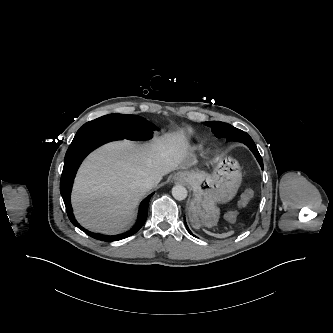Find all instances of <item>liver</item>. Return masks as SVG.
Masks as SVG:
<instances>
[{
    "instance_id": "6515ba94",
    "label": "liver",
    "mask_w": 333,
    "mask_h": 333,
    "mask_svg": "<svg viewBox=\"0 0 333 333\" xmlns=\"http://www.w3.org/2000/svg\"><path fill=\"white\" fill-rule=\"evenodd\" d=\"M196 163L181 133L143 144L127 140L106 144L90 154L78 172L71 196L75 217L91 231L120 233L145 194L138 187L140 180L150 178L157 186L164 175Z\"/></svg>"
}]
</instances>
